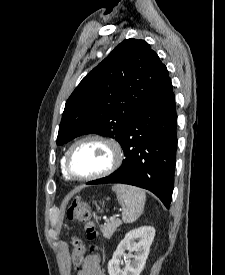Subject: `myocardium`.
I'll use <instances>...</instances> for the list:
<instances>
[{
    "label": "myocardium",
    "mask_w": 225,
    "mask_h": 275,
    "mask_svg": "<svg viewBox=\"0 0 225 275\" xmlns=\"http://www.w3.org/2000/svg\"><path fill=\"white\" fill-rule=\"evenodd\" d=\"M89 141H96V142L102 143L109 148V150L111 152L110 164L106 169H104L100 172L90 174V175H77L72 171L71 166H70L71 155L77 146H79L82 143L89 142ZM122 159H123V151H122L120 144L116 140H114L112 138L105 137V136L92 134V135H87V136H84V137L76 140L70 146V148L68 149V151L65 155V158H64V170L67 173V175L73 179L85 180V181L96 180V179L106 177V176L112 174L113 172H115L121 165Z\"/></svg>",
    "instance_id": "1"
}]
</instances>
